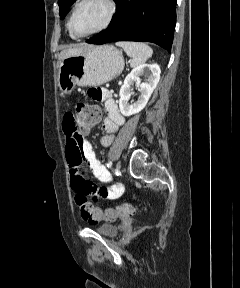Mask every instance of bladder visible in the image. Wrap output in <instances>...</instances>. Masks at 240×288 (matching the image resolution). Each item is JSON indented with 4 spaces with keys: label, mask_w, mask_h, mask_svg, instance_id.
I'll return each mask as SVG.
<instances>
[{
    "label": "bladder",
    "mask_w": 240,
    "mask_h": 288,
    "mask_svg": "<svg viewBox=\"0 0 240 288\" xmlns=\"http://www.w3.org/2000/svg\"><path fill=\"white\" fill-rule=\"evenodd\" d=\"M96 231L108 238H113L118 234V227L113 224H102L96 228Z\"/></svg>",
    "instance_id": "obj_1"
}]
</instances>
